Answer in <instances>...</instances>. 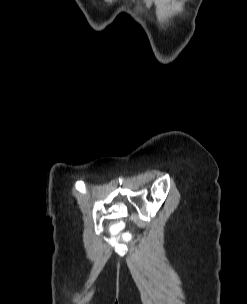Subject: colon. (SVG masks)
Segmentation results:
<instances>
[{
    "mask_svg": "<svg viewBox=\"0 0 247 304\" xmlns=\"http://www.w3.org/2000/svg\"><path fill=\"white\" fill-rule=\"evenodd\" d=\"M114 230H121V227L126 226L125 220H114L113 221ZM119 238H126V235H119ZM126 242H131V239H126Z\"/></svg>",
    "mask_w": 247,
    "mask_h": 304,
    "instance_id": "5ec220e1",
    "label": "colon"
}]
</instances>
